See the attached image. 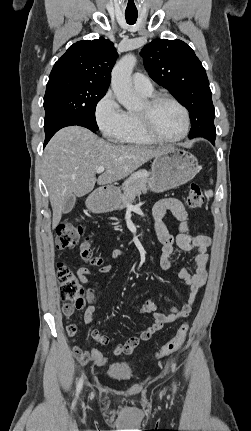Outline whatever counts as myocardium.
Listing matches in <instances>:
<instances>
[{
    "mask_svg": "<svg viewBox=\"0 0 251 431\" xmlns=\"http://www.w3.org/2000/svg\"><path fill=\"white\" fill-rule=\"evenodd\" d=\"M163 102H170L175 104L183 113L184 126L180 135L175 138H164L160 136L155 130L153 124L152 114L157 106ZM146 108L142 112H138V118L140 125L144 133L154 142L162 144H174L182 141L189 133L190 130V114L186 106L180 102L178 99L167 94H157L146 101Z\"/></svg>",
    "mask_w": 251,
    "mask_h": 431,
    "instance_id": "f54148a6",
    "label": "myocardium"
}]
</instances>
